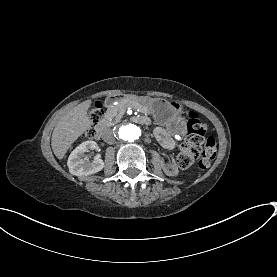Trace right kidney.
Returning <instances> with one entry per match:
<instances>
[{"label": "right kidney", "mask_w": 277, "mask_h": 277, "mask_svg": "<svg viewBox=\"0 0 277 277\" xmlns=\"http://www.w3.org/2000/svg\"><path fill=\"white\" fill-rule=\"evenodd\" d=\"M95 147L96 143L94 141H86L73 150L68 158V168L72 175L84 177L104 169L103 159L96 156L92 162L89 157H84L85 152H89Z\"/></svg>", "instance_id": "obj_1"}]
</instances>
